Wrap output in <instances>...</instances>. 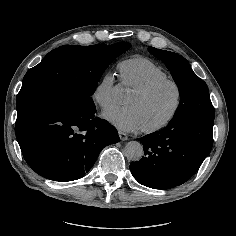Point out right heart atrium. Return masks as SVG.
Here are the masks:
<instances>
[{"label": "right heart atrium", "instance_id": "1", "mask_svg": "<svg viewBox=\"0 0 236 236\" xmlns=\"http://www.w3.org/2000/svg\"><path fill=\"white\" fill-rule=\"evenodd\" d=\"M116 88V77L114 73L107 71L95 85L91 97L103 110H108L115 105L113 91Z\"/></svg>", "mask_w": 236, "mask_h": 236}]
</instances>
